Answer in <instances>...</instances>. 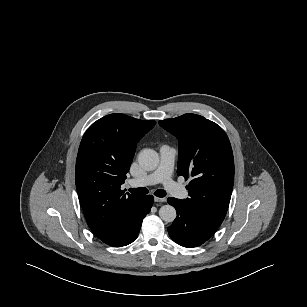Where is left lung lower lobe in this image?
<instances>
[{
  "label": "left lung lower lobe",
  "mask_w": 307,
  "mask_h": 307,
  "mask_svg": "<svg viewBox=\"0 0 307 307\" xmlns=\"http://www.w3.org/2000/svg\"><path fill=\"white\" fill-rule=\"evenodd\" d=\"M167 202L177 211V217L170 227L168 233L171 239L184 247H196L207 241L215 229L205 225L196 219L176 198H168Z\"/></svg>",
  "instance_id": "1"
}]
</instances>
